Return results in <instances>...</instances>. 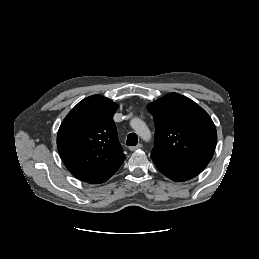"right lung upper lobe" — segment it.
Masks as SVG:
<instances>
[{"label": "right lung upper lobe", "instance_id": "right-lung-upper-lobe-1", "mask_svg": "<svg viewBox=\"0 0 259 259\" xmlns=\"http://www.w3.org/2000/svg\"><path fill=\"white\" fill-rule=\"evenodd\" d=\"M118 105L93 95L65 117L57 134L59 154L70 173L92 184L111 177L125 160L113 115Z\"/></svg>", "mask_w": 259, "mask_h": 259}]
</instances>
